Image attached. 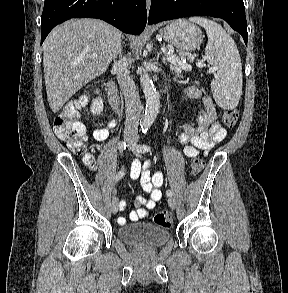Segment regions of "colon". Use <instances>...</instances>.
<instances>
[{
	"label": "colon",
	"mask_w": 288,
	"mask_h": 293,
	"mask_svg": "<svg viewBox=\"0 0 288 293\" xmlns=\"http://www.w3.org/2000/svg\"><path fill=\"white\" fill-rule=\"evenodd\" d=\"M87 100L70 103L64 106L60 113L56 116L53 128L59 139L75 154H84L86 146V128L79 120L81 108L86 104ZM238 111L229 109L222 115V122L228 128H233L238 120ZM85 163L88 166L94 165V159L90 155L85 156ZM204 160L200 157L193 159L191 163V171L194 175H198L204 169ZM156 225L169 228L172 225V216L168 212H158L154 217Z\"/></svg>",
	"instance_id": "1"
}]
</instances>
